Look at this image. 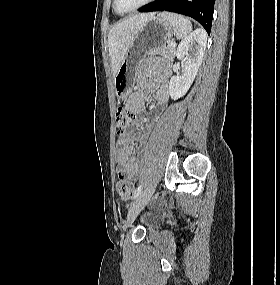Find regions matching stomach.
<instances>
[{
  "label": "stomach",
  "mask_w": 280,
  "mask_h": 285,
  "mask_svg": "<svg viewBox=\"0 0 280 285\" xmlns=\"http://www.w3.org/2000/svg\"><path fill=\"white\" fill-rule=\"evenodd\" d=\"M173 34V25L160 14L149 19L140 28L114 77L119 99H126L131 94L138 66L145 55L165 45Z\"/></svg>",
  "instance_id": "1"
}]
</instances>
